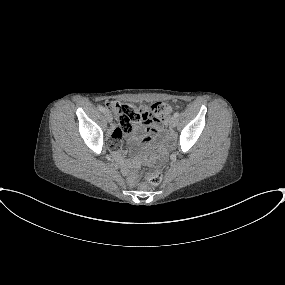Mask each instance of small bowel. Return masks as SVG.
Here are the masks:
<instances>
[{
	"label": "small bowel",
	"instance_id": "obj_1",
	"mask_svg": "<svg viewBox=\"0 0 285 285\" xmlns=\"http://www.w3.org/2000/svg\"><path fill=\"white\" fill-rule=\"evenodd\" d=\"M155 126L156 122L154 120H149L136 126L135 127L136 134L133 136V140L137 141L143 138L144 136L150 134ZM122 137L123 133L119 129L114 128L107 142V145L109 149L113 150L115 161L119 163L123 169H125L124 161L122 157L117 153L122 145ZM128 182L130 185H133L135 182V178L132 175L128 176Z\"/></svg>",
	"mask_w": 285,
	"mask_h": 285
}]
</instances>
